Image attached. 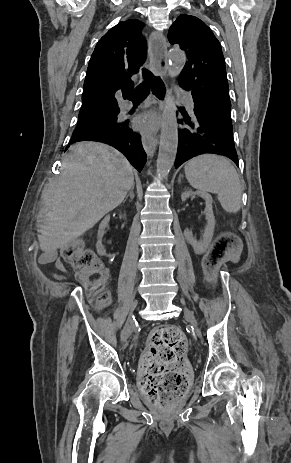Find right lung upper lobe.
<instances>
[{
    "label": "right lung upper lobe",
    "mask_w": 291,
    "mask_h": 463,
    "mask_svg": "<svg viewBox=\"0 0 291 463\" xmlns=\"http://www.w3.org/2000/svg\"><path fill=\"white\" fill-rule=\"evenodd\" d=\"M139 24L138 20L119 22L97 43L87 68L79 119L119 112L115 93L133 88L131 76L146 59Z\"/></svg>",
    "instance_id": "right-lung-upper-lobe-1"
}]
</instances>
